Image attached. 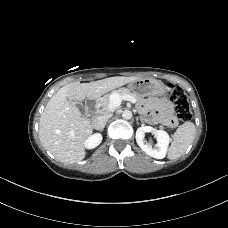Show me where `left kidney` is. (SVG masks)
I'll list each match as a JSON object with an SVG mask.
<instances>
[{
    "mask_svg": "<svg viewBox=\"0 0 228 228\" xmlns=\"http://www.w3.org/2000/svg\"><path fill=\"white\" fill-rule=\"evenodd\" d=\"M152 132L157 140L153 147L150 143L145 142V133ZM136 141L138 146L149 156L156 159H163L166 156L170 137L163 130H156L151 126H141L136 131Z\"/></svg>",
    "mask_w": 228,
    "mask_h": 228,
    "instance_id": "obj_1",
    "label": "left kidney"
}]
</instances>
